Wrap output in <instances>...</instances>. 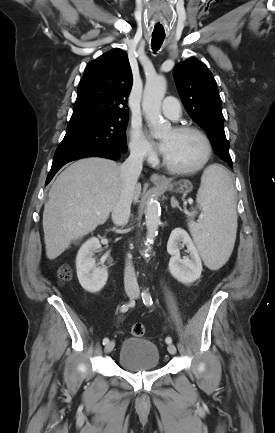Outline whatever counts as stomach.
Segmentation results:
<instances>
[{
  "instance_id": "1",
  "label": "stomach",
  "mask_w": 275,
  "mask_h": 433,
  "mask_svg": "<svg viewBox=\"0 0 275 433\" xmlns=\"http://www.w3.org/2000/svg\"><path fill=\"white\" fill-rule=\"evenodd\" d=\"M165 190H169L176 193L186 194L192 191V184L187 180H181L174 184H169L167 186H161Z\"/></svg>"
}]
</instances>
